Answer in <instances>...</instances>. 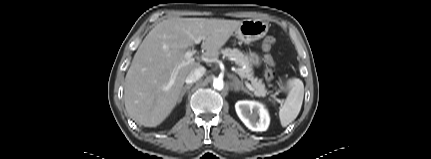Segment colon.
Wrapping results in <instances>:
<instances>
[{
    "label": "colon",
    "mask_w": 431,
    "mask_h": 159,
    "mask_svg": "<svg viewBox=\"0 0 431 159\" xmlns=\"http://www.w3.org/2000/svg\"><path fill=\"white\" fill-rule=\"evenodd\" d=\"M275 41L276 40H275V38L273 36H267L264 39V42H263V45H262L263 50L265 52H269L270 49L272 48V46L274 45ZM264 60H265V62L267 64V66H268L267 69L265 70V74L264 75H265L266 80L270 82V81H272L274 79V76H275V72L273 70L275 62H274L273 57L270 54H266Z\"/></svg>",
    "instance_id": "colon-1"
}]
</instances>
